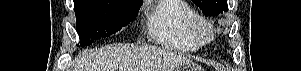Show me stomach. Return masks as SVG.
I'll use <instances>...</instances> for the list:
<instances>
[{"label":"stomach","mask_w":301,"mask_h":71,"mask_svg":"<svg viewBox=\"0 0 301 71\" xmlns=\"http://www.w3.org/2000/svg\"><path fill=\"white\" fill-rule=\"evenodd\" d=\"M175 71H201L199 66L194 63H185L175 69Z\"/></svg>","instance_id":"1"}]
</instances>
